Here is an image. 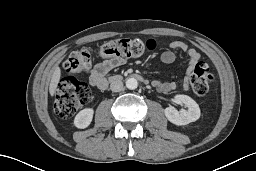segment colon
Returning <instances> with one entry per match:
<instances>
[{
  "label": "colon",
  "instance_id": "obj_1",
  "mask_svg": "<svg viewBox=\"0 0 256 171\" xmlns=\"http://www.w3.org/2000/svg\"><path fill=\"white\" fill-rule=\"evenodd\" d=\"M155 48L153 39L121 38L102 44L95 52L106 59H127L139 57ZM91 66V51L79 49L72 52L64 61L63 68L69 75L63 77L57 86L54 110L60 118L71 117L81 106L89 102L91 91L88 85L70 74L83 73ZM192 90L203 96L209 91L213 81L208 66L198 62L189 77Z\"/></svg>",
  "mask_w": 256,
  "mask_h": 171
}]
</instances>
